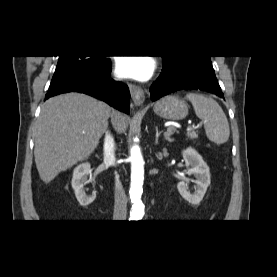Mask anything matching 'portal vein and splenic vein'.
Listing matches in <instances>:
<instances>
[{"label":"portal vein and splenic vein","instance_id":"18ae733b","mask_svg":"<svg viewBox=\"0 0 277 277\" xmlns=\"http://www.w3.org/2000/svg\"><path fill=\"white\" fill-rule=\"evenodd\" d=\"M191 130H192V127L189 126V127L187 128V131H191ZM169 132H171V131H169ZM169 132H167L166 134H169Z\"/></svg>","mask_w":277,"mask_h":277}]
</instances>
